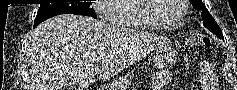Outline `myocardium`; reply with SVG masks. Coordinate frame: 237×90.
<instances>
[{
    "mask_svg": "<svg viewBox=\"0 0 237 90\" xmlns=\"http://www.w3.org/2000/svg\"><path fill=\"white\" fill-rule=\"evenodd\" d=\"M188 2L189 0L175 1V3H177L180 7L181 14L179 20L173 25L160 24L153 18L152 16L153 9L157 8V5H153V3H155V0H141V3H138V7L142 9V18H144L147 21V23H149L152 27L160 30L171 31L179 28L182 25L187 12V6L185 5V3Z\"/></svg>",
    "mask_w": 237,
    "mask_h": 90,
    "instance_id": "1",
    "label": "myocardium"
}]
</instances>
